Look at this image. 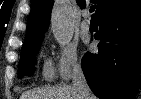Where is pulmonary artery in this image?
<instances>
[{"mask_svg": "<svg viewBox=\"0 0 141 99\" xmlns=\"http://www.w3.org/2000/svg\"><path fill=\"white\" fill-rule=\"evenodd\" d=\"M83 17L84 20L81 23V29L84 32H88L90 30V18H89V12L87 10L83 11Z\"/></svg>", "mask_w": 141, "mask_h": 99, "instance_id": "pulmonary-artery-1", "label": "pulmonary artery"}]
</instances>
